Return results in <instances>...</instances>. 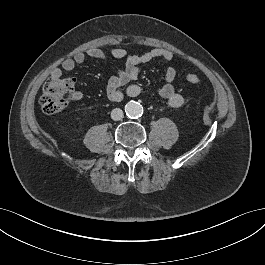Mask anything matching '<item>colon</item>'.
Segmentation results:
<instances>
[{"label": "colon", "mask_w": 265, "mask_h": 265, "mask_svg": "<svg viewBox=\"0 0 265 265\" xmlns=\"http://www.w3.org/2000/svg\"><path fill=\"white\" fill-rule=\"evenodd\" d=\"M193 85L201 84V78L193 73L185 76ZM75 80L71 77L50 76L44 83L39 103L47 114L62 112L74 98Z\"/></svg>", "instance_id": "obj_1"}]
</instances>
